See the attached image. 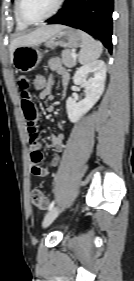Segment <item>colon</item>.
Masks as SVG:
<instances>
[{
  "instance_id": "5ec220e1",
  "label": "colon",
  "mask_w": 134,
  "mask_h": 281,
  "mask_svg": "<svg viewBox=\"0 0 134 281\" xmlns=\"http://www.w3.org/2000/svg\"><path fill=\"white\" fill-rule=\"evenodd\" d=\"M48 84V79L42 75L37 74L33 79V87L36 91L42 92L46 89ZM32 203L35 207L39 209H45L48 204L47 196L39 189H35L32 192Z\"/></svg>"
}]
</instances>
